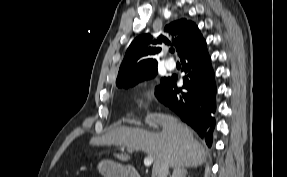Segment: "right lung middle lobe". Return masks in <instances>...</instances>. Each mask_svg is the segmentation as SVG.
I'll use <instances>...</instances> for the list:
<instances>
[{"instance_id": "right-lung-middle-lobe-1", "label": "right lung middle lobe", "mask_w": 287, "mask_h": 177, "mask_svg": "<svg viewBox=\"0 0 287 177\" xmlns=\"http://www.w3.org/2000/svg\"><path fill=\"white\" fill-rule=\"evenodd\" d=\"M156 75H157V69L146 74L145 76H143L139 79L129 81V82L120 83V84H116V85L120 88H129L130 86H134L143 80L151 79V78L155 77ZM164 80H165V77L161 79V81H164Z\"/></svg>"}]
</instances>
